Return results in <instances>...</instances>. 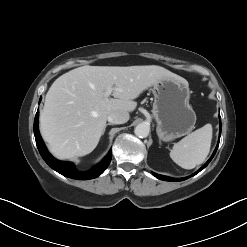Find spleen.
Segmentation results:
<instances>
[{"label": "spleen", "mask_w": 247, "mask_h": 247, "mask_svg": "<svg viewBox=\"0 0 247 247\" xmlns=\"http://www.w3.org/2000/svg\"><path fill=\"white\" fill-rule=\"evenodd\" d=\"M211 140L212 125L206 124L174 144L170 157L180 167L193 169L205 161L210 151Z\"/></svg>", "instance_id": "3e777b00"}]
</instances>
